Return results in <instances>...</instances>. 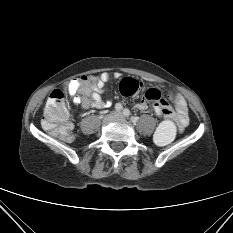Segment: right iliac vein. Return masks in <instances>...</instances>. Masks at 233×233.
Returning a JSON list of instances; mask_svg holds the SVG:
<instances>
[{"instance_id":"1","label":"right iliac vein","mask_w":233,"mask_h":233,"mask_svg":"<svg viewBox=\"0 0 233 233\" xmlns=\"http://www.w3.org/2000/svg\"><path fill=\"white\" fill-rule=\"evenodd\" d=\"M116 117H117V114H116V113L107 115V116L104 118L103 122H104V123H108V122L112 121V120H113L114 118H116Z\"/></svg>"}]
</instances>
